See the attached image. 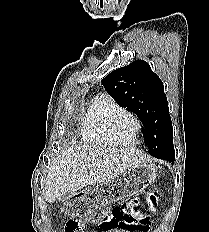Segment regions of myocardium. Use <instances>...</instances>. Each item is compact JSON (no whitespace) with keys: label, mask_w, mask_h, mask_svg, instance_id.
I'll return each instance as SVG.
<instances>
[{"label":"myocardium","mask_w":209,"mask_h":232,"mask_svg":"<svg viewBox=\"0 0 209 232\" xmlns=\"http://www.w3.org/2000/svg\"><path fill=\"white\" fill-rule=\"evenodd\" d=\"M122 115L130 116L133 119V121L135 122V126H136L131 140L129 142H126V143H122V142L118 141L114 135V132H113V125H114L115 121ZM140 130H141L140 119L138 118V116L135 113H133L132 111L127 110V109H119V110L115 111L113 114H111V116L108 119L107 127H106L107 136H108L109 140L113 143V145L123 146V147L131 146L132 142L135 141Z\"/></svg>","instance_id":"1"}]
</instances>
